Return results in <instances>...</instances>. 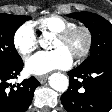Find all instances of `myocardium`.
I'll use <instances>...</instances> for the list:
<instances>
[{
    "label": "myocardium",
    "instance_id": "myocardium-1",
    "mask_svg": "<svg viewBox=\"0 0 112 112\" xmlns=\"http://www.w3.org/2000/svg\"><path fill=\"white\" fill-rule=\"evenodd\" d=\"M77 33H82L85 37L84 47L74 55L75 59L81 60L89 54L93 44V34L88 26L74 25L60 33H57L56 37L60 40L67 41Z\"/></svg>",
    "mask_w": 112,
    "mask_h": 112
}]
</instances>
